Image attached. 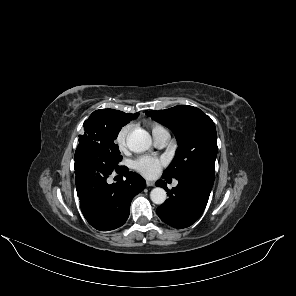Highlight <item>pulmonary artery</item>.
Instances as JSON below:
<instances>
[{"mask_svg":"<svg viewBox=\"0 0 296 296\" xmlns=\"http://www.w3.org/2000/svg\"><path fill=\"white\" fill-rule=\"evenodd\" d=\"M153 139H154L155 145L159 148H162L168 142L169 134L167 131H164L160 133L158 136L154 137ZM174 185H177V183H175Z\"/></svg>","mask_w":296,"mask_h":296,"instance_id":"e3ab8cb5","label":"pulmonary artery"}]
</instances>
